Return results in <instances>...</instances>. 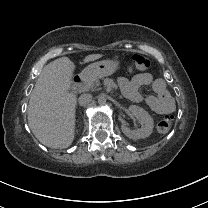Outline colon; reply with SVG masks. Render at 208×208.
Masks as SVG:
<instances>
[{
    "label": "colon",
    "mask_w": 208,
    "mask_h": 208,
    "mask_svg": "<svg viewBox=\"0 0 208 208\" xmlns=\"http://www.w3.org/2000/svg\"><path fill=\"white\" fill-rule=\"evenodd\" d=\"M151 60L142 54L133 53L129 57L128 67L131 73L143 72L150 68ZM173 125V118L171 116H165L158 122V130L160 132H167Z\"/></svg>",
    "instance_id": "obj_1"
}]
</instances>
